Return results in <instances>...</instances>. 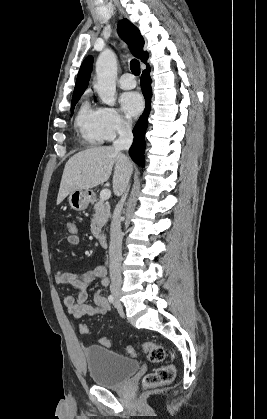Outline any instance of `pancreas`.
Returning a JSON list of instances; mask_svg holds the SVG:
<instances>
[{"label": "pancreas", "instance_id": "cf45deb5", "mask_svg": "<svg viewBox=\"0 0 267 419\" xmlns=\"http://www.w3.org/2000/svg\"><path fill=\"white\" fill-rule=\"evenodd\" d=\"M94 215L91 221V232L96 237L99 238L101 233V228L107 223L110 217V206L100 199L94 204Z\"/></svg>", "mask_w": 267, "mask_h": 419}]
</instances>
